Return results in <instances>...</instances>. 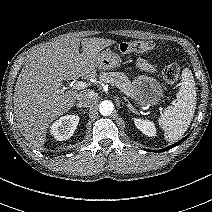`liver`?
<instances>
[{
  "label": "liver",
  "mask_w": 212,
  "mask_h": 212,
  "mask_svg": "<svg viewBox=\"0 0 212 212\" xmlns=\"http://www.w3.org/2000/svg\"><path fill=\"white\" fill-rule=\"evenodd\" d=\"M104 38L61 37L43 44L27 58L15 85L14 113L19 130L35 146H43L49 125L89 91H64V81L97 76L99 52L113 44ZM80 44L82 52L79 53ZM61 88V89H60Z\"/></svg>",
  "instance_id": "obj_1"
}]
</instances>
